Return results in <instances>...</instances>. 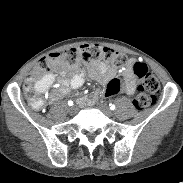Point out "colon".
<instances>
[{
	"mask_svg": "<svg viewBox=\"0 0 183 183\" xmlns=\"http://www.w3.org/2000/svg\"><path fill=\"white\" fill-rule=\"evenodd\" d=\"M80 62H104L113 67L120 68L128 63V57L121 52L97 44H85L78 48L67 49L63 52L51 53L41 58L31 75L35 76L41 72L49 71L52 67L57 65L72 67ZM133 70L135 75L141 79V84L137 87L133 104L138 109H144L155 103L156 96L160 91V83L158 79L149 72L144 63L136 61L133 64ZM124 85L125 82L122 78H114L107 84L105 96L112 97L118 94L121 92ZM25 94L34 108H39L43 105V99L32 92L29 83L25 85Z\"/></svg>",
	"mask_w": 183,
	"mask_h": 183,
	"instance_id": "colon-1",
	"label": "colon"
}]
</instances>
